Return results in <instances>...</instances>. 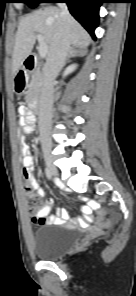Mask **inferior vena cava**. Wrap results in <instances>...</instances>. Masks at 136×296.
I'll list each match as a JSON object with an SVG mask.
<instances>
[{"label":"inferior vena cava","instance_id":"602c4592","mask_svg":"<svg viewBox=\"0 0 136 296\" xmlns=\"http://www.w3.org/2000/svg\"><path fill=\"white\" fill-rule=\"evenodd\" d=\"M62 24L60 26L56 45L49 53L43 69V82L39 99V130L41 142L51 144L50 130L53 107V82L65 64L70 51V14L65 3L58 4Z\"/></svg>","mask_w":136,"mask_h":296}]
</instances>
